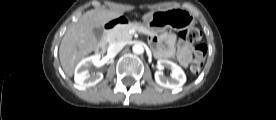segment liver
Segmentation results:
<instances>
[{
    "mask_svg": "<svg viewBox=\"0 0 276 120\" xmlns=\"http://www.w3.org/2000/svg\"><path fill=\"white\" fill-rule=\"evenodd\" d=\"M152 12L142 18H148ZM123 15L121 10L95 9L84 13L79 21L65 33L59 48V58L65 74L73 75L76 64L91 53L98 45L93 29L102 27Z\"/></svg>",
    "mask_w": 276,
    "mask_h": 120,
    "instance_id": "liver-1",
    "label": "liver"
}]
</instances>
